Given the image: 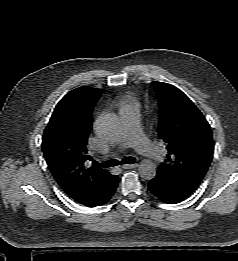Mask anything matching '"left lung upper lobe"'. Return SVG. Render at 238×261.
I'll return each instance as SVG.
<instances>
[{"instance_id": "obj_1", "label": "left lung upper lobe", "mask_w": 238, "mask_h": 261, "mask_svg": "<svg viewBox=\"0 0 238 261\" xmlns=\"http://www.w3.org/2000/svg\"><path fill=\"white\" fill-rule=\"evenodd\" d=\"M158 99V136L166 144L167 163L158 171L195 190L213 158L209 123L195 104L175 86L153 81Z\"/></svg>"}]
</instances>
